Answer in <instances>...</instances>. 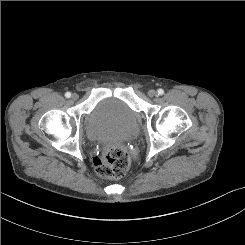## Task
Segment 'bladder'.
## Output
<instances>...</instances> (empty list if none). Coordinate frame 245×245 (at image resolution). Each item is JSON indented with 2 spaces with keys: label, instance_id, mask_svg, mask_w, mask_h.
Listing matches in <instances>:
<instances>
[{
  "label": "bladder",
  "instance_id": "31cf9c89",
  "mask_svg": "<svg viewBox=\"0 0 245 245\" xmlns=\"http://www.w3.org/2000/svg\"><path fill=\"white\" fill-rule=\"evenodd\" d=\"M138 115L125 102L110 97L100 100L89 113L85 131L95 141H125L138 133Z\"/></svg>",
  "mask_w": 245,
  "mask_h": 245
}]
</instances>
